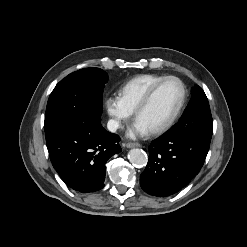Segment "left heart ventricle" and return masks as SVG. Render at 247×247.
I'll list each match as a JSON object with an SVG mask.
<instances>
[{"instance_id":"b2bd125f","label":"left heart ventricle","mask_w":247,"mask_h":247,"mask_svg":"<svg viewBox=\"0 0 247 247\" xmlns=\"http://www.w3.org/2000/svg\"><path fill=\"white\" fill-rule=\"evenodd\" d=\"M182 97V89L178 82L168 81L163 84L149 106L142 111L136 121L149 132L162 126L176 111Z\"/></svg>"}]
</instances>
